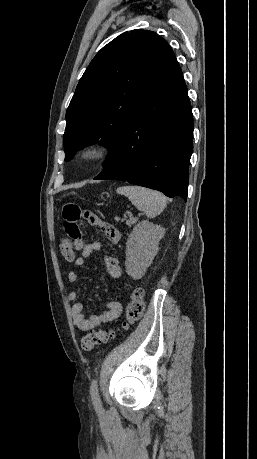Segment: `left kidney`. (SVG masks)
<instances>
[{"label":"left kidney","mask_w":257,"mask_h":459,"mask_svg":"<svg viewBox=\"0 0 257 459\" xmlns=\"http://www.w3.org/2000/svg\"><path fill=\"white\" fill-rule=\"evenodd\" d=\"M164 234L165 228L147 220L133 228L126 242L125 261L126 272L131 278L138 280L144 276L158 252L159 241Z\"/></svg>","instance_id":"left-kidney-1"}]
</instances>
